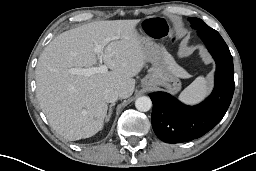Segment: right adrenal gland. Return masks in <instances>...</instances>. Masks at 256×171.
I'll list each match as a JSON object with an SVG mask.
<instances>
[{
    "mask_svg": "<svg viewBox=\"0 0 256 171\" xmlns=\"http://www.w3.org/2000/svg\"><path fill=\"white\" fill-rule=\"evenodd\" d=\"M114 105H115V103H112V104L109 106V111H108V114H107L106 119H105L106 122L109 121V119H110V117H111V115H112V107H113Z\"/></svg>",
    "mask_w": 256,
    "mask_h": 171,
    "instance_id": "obj_1",
    "label": "right adrenal gland"
}]
</instances>
